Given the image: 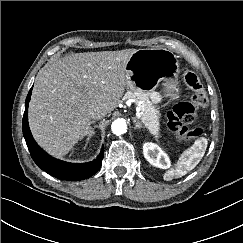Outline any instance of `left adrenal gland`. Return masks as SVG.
I'll use <instances>...</instances> for the list:
<instances>
[{"label": "left adrenal gland", "instance_id": "left-adrenal-gland-1", "mask_svg": "<svg viewBox=\"0 0 243 243\" xmlns=\"http://www.w3.org/2000/svg\"><path fill=\"white\" fill-rule=\"evenodd\" d=\"M133 122L135 123V129L143 128V125L139 122L138 119L134 118Z\"/></svg>", "mask_w": 243, "mask_h": 243}]
</instances>
